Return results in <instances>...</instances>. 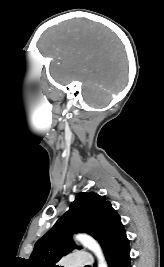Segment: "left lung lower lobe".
Instances as JSON below:
<instances>
[{
    "label": "left lung lower lobe",
    "mask_w": 164,
    "mask_h": 267,
    "mask_svg": "<svg viewBox=\"0 0 164 267\" xmlns=\"http://www.w3.org/2000/svg\"><path fill=\"white\" fill-rule=\"evenodd\" d=\"M108 267H131L129 240L124 226L117 228L102 246ZM96 267V265H94Z\"/></svg>",
    "instance_id": "0a47b994"
}]
</instances>
